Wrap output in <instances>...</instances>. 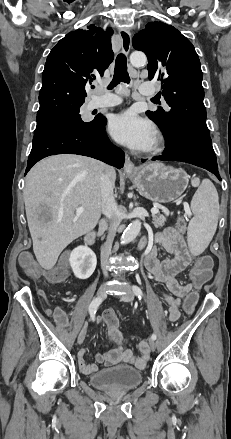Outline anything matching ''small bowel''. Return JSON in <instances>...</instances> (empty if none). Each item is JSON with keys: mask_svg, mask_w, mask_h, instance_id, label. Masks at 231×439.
I'll use <instances>...</instances> for the list:
<instances>
[{"mask_svg": "<svg viewBox=\"0 0 231 439\" xmlns=\"http://www.w3.org/2000/svg\"><path fill=\"white\" fill-rule=\"evenodd\" d=\"M157 245L171 255L170 258L160 260L158 258ZM191 253L187 248L186 241L181 231L175 228H167L156 232L149 240L145 252V266L156 281L163 284L168 290L163 293V299L168 305L169 320L176 321L180 317L179 306L183 305V294L193 290V282L184 284L176 277L190 264ZM54 320L60 326H66L68 317L62 308H55L52 311ZM108 336L115 347L107 352L96 355L98 363L107 366L128 364L138 369H143L149 359L148 346L145 341L139 343L140 356H136L131 349L124 348V337L118 328V320L114 313L106 312L102 317ZM87 352L85 349L78 354L79 366L86 374L98 370L97 364L86 361Z\"/></svg>", "mask_w": 231, "mask_h": 439, "instance_id": "1", "label": "small bowel"}]
</instances>
